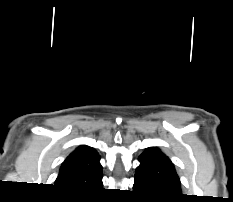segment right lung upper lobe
<instances>
[{"instance_id":"obj_1","label":"right lung upper lobe","mask_w":233,"mask_h":202,"mask_svg":"<svg viewBox=\"0 0 233 202\" xmlns=\"http://www.w3.org/2000/svg\"><path fill=\"white\" fill-rule=\"evenodd\" d=\"M96 150L81 145L62 163L55 187L77 195H87L102 187V166Z\"/></svg>"}]
</instances>
